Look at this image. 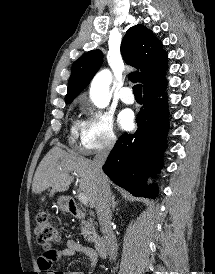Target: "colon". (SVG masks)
Segmentation results:
<instances>
[{
    "instance_id": "obj_1",
    "label": "colon",
    "mask_w": 215,
    "mask_h": 274,
    "mask_svg": "<svg viewBox=\"0 0 215 274\" xmlns=\"http://www.w3.org/2000/svg\"><path fill=\"white\" fill-rule=\"evenodd\" d=\"M35 234L38 242L45 250H54V245L60 239L57 229L50 221L49 215L46 212H40L37 215Z\"/></svg>"
}]
</instances>
